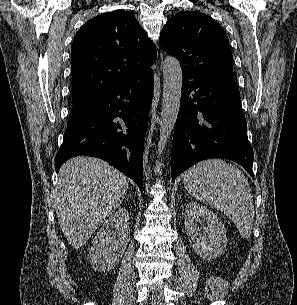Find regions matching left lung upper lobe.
I'll use <instances>...</instances> for the list:
<instances>
[{
  "instance_id": "1",
  "label": "left lung upper lobe",
  "mask_w": 297,
  "mask_h": 305,
  "mask_svg": "<svg viewBox=\"0 0 297 305\" xmlns=\"http://www.w3.org/2000/svg\"><path fill=\"white\" fill-rule=\"evenodd\" d=\"M159 43L179 60L182 72L198 79L234 77L228 37L203 13L182 11L172 16L161 30Z\"/></svg>"
}]
</instances>
